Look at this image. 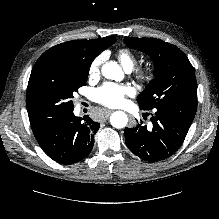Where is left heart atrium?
Returning a JSON list of instances; mask_svg holds the SVG:
<instances>
[{"label":"left heart atrium","instance_id":"39dd6f15","mask_svg":"<svg viewBox=\"0 0 219 219\" xmlns=\"http://www.w3.org/2000/svg\"><path fill=\"white\" fill-rule=\"evenodd\" d=\"M133 90L126 85L105 83L95 90L96 101L106 107H119L125 103L126 96H131Z\"/></svg>","mask_w":219,"mask_h":219}]
</instances>
